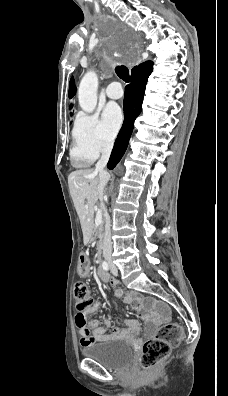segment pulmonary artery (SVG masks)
<instances>
[{
    "label": "pulmonary artery",
    "mask_w": 228,
    "mask_h": 396,
    "mask_svg": "<svg viewBox=\"0 0 228 396\" xmlns=\"http://www.w3.org/2000/svg\"><path fill=\"white\" fill-rule=\"evenodd\" d=\"M106 95L111 99H119L123 96V90L118 82L110 83L106 88Z\"/></svg>",
    "instance_id": "pulmonary-artery-1"
}]
</instances>
